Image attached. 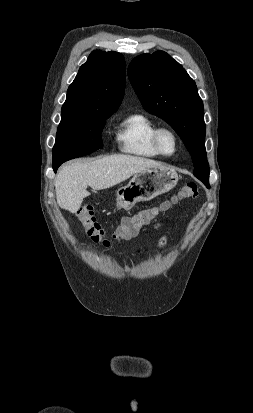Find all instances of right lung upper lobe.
<instances>
[{"instance_id":"cb5924a9","label":"right lung upper lobe","mask_w":253,"mask_h":413,"mask_svg":"<svg viewBox=\"0 0 253 413\" xmlns=\"http://www.w3.org/2000/svg\"><path fill=\"white\" fill-rule=\"evenodd\" d=\"M125 60L118 52L93 51L69 86L61 118H88L115 112L125 90Z\"/></svg>"}]
</instances>
